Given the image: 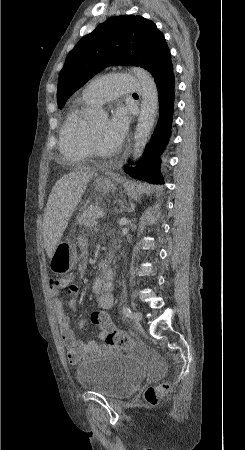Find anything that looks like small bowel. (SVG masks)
Instances as JSON below:
<instances>
[{
	"label": "small bowel",
	"mask_w": 245,
	"mask_h": 450,
	"mask_svg": "<svg viewBox=\"0 0 245 450\" xmlns=\"http://www.w3.org/2000/svg\"><path fill=\"white\" fill-rule=\"evenodd\" d=\"M81 242L83 239L80 240ZM84 269L79 268V273H83ZM73 277L68 276L61 283L56 284L54 279L49 282L50 294L52 296V309L55 313L57 323L60 327L61 339L67 351V359L73 364H79L83 359L103 353L110 350V347L104 344H98L95 340L83 342L77 339L70 323V319L65 312V302L61 297L62 291L68 296V306L73 308L76 306L78 297L84 294V291L77 285L72 284ZM92 290L96 295L97 307L101 310L110 309L114 304V270L103 272L95 279ZM104 333L101 330L99 337L103 338Z\"/></svg>",
	"instance_id": "obj_1"
}]
</instances>
